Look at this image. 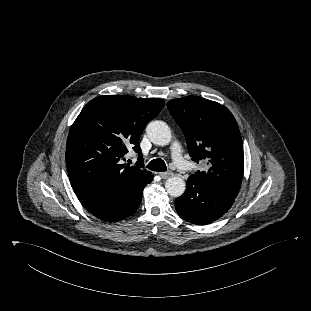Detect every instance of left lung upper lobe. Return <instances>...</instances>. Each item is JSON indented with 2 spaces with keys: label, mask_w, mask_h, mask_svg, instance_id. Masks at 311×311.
<instances>
[{
  "label": "left lung upper lobe",
  "mask_w": 311,
  "mask_h": 311,
  "mask_svg": "<svg viewBox=\"0 0 311 311\" xmlns=\"http://www.w3.org/2000/svg\"><path fill=\"white\" fill-rule=\"evenodd\" d=\"M182 129L192 160L207 162L194 175L215 189L236 198L244 170V153L238 124L223 105L197 96L167 103Z\"/></svg>",
  "instance_id": "5c2ea615"
}]
</instances>
